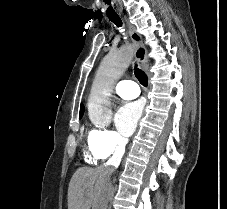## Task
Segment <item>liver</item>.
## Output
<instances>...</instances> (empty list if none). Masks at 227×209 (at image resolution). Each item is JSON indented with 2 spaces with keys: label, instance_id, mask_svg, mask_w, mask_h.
<instances>
[{
  "label": "liver",
  "instance_id": "1",
  "mask_svg": "<svg viewBox=\"0 0 227 209\" xmlns=\"http://www.w3.org/2000/svg\"><path fill=\"white\" fill-rule=\"evenodd\" d=\"M99 175V169H89V167L77 169L68 187V209H90L91 201L85 203V199L90 197Z\"/></svg>",
  "mask_w": 227,
  "mask_h": 209
}]
</instances>
